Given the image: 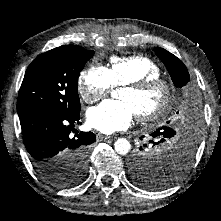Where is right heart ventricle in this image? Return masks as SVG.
I'll list each match as a JSON object with an SVG mask.
<instances>
[{"instance_id":"e07e8e85","label":"right heart ventricle","mask_w":221,"mask_h":221,"mask_svg":"<svg viewBox=\"0 0 221 221\" xmlns=\"http://www.w3.org/2000/svg\"><path fill=\"white\" fill-rule=\"evenodd\" d=\"M108 71L114 85L117 86L161 75L160 67L153 60L142 55L114 57L111 59Z\"/></svg>"}]
</instances>
